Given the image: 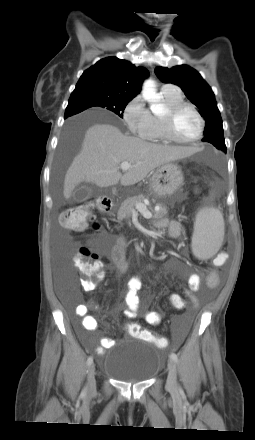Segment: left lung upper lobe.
Wrapping results in <instances>:
<instances>
[{"label":"left lung upper lobe","instance_id":"5c2ea615","mask_svg":"<svg viewBox=\"0 0 255 440\" xmlns=\"http://www.w3.org/2000/svg\"><path fill=\"white\" fill-rule=\"evenodd\" d=\"M155 73L162 82L178 85L187 98L198 107L206 122L202 141L226 152L222 119L215 95L201 75L188 65H178L170 69L157 67Z\"/></svg>","mask_w":255,"mask_h":440}]
</instances>
